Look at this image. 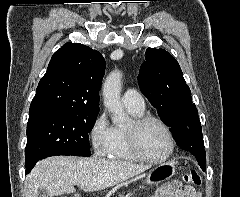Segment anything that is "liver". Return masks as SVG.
Instances as JSON below:
<instances>
[{
	"instance_id": "6515ba94",
	"label": "liver",
	"mask_w": 240,
	"mask_h": 197,
	"mask_svg": "<svg viewBox=\"0 0 240 197\" xmlns=\"http://www.w3.org/2000/svg\"><path fill=\"white\" fill-rule=\"evenodd\" d=\"M149 166L105 160L95 157L53 156L36 164L26 179V196L36 197L38 189L58 196L74 193L77 184L85 192H94L112 187Z\"/></svg>"
}]
</instances>
